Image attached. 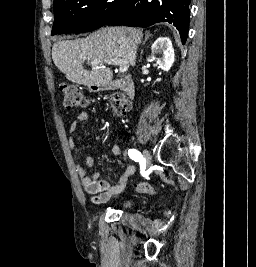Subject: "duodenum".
Segmentation results:
<instances>
[{
  "label": "duodenum",
  "mask_w": 256,
  "mask_h": 267,
  "mask_svg": "<svg viewBox=\"0 0 256 267\" xmlns=\"http://www.w3.org/2000/svg\"><path fill=\"white\" fill-rule=\"evenodd\" d=\"M92 84L84 85V90H87V94H98V90L101 89H120L129 98L133 99L135 97V83L131 76L115 79L110 84L107 81H93Z\"/></svg>",
  "instance_id": "410a0bca"
}]
</instances>
